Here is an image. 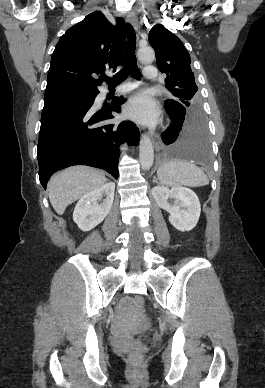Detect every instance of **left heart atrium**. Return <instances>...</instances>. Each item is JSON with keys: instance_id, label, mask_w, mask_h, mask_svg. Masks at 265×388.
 <instances>
[{"instance_id": "39dd6f15", "label": "left heart atrium", "mask_w": 265, "mask_h": 388, "mask_svg": "<svg viewBox=\"0 0 265 388\" xmlns=\"http://www.w3.org/2000/svg\"><path fill=\"white\" fill-rule=\"evenodd\" d=\"M129 117L134 119L151 122L159 115V108L150 94L141 92L136 94L125 108Z\"/></svg>"}]
</instances>
